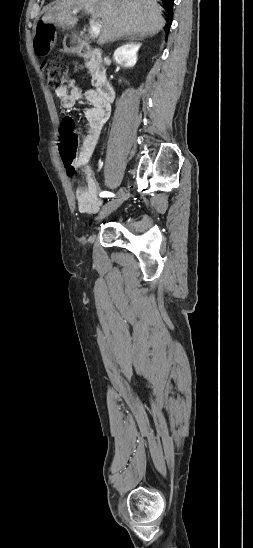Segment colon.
<instances>
[{
    "instance_id": "5ec220e1",
    "label": "colon",
    "mask_w": 253,
    "mask_h": 548,
    "mask_svg": "<svg viewBox=\"0 0 253 548\" xmlns=\"http://www.w3.org/2000/svg\"><path fill=\"white\" fill-rule=\"evenodd\" d=\"M54 41V29L51 26L41 25L38 28L36 36V45L40 50H48ZM47 84L52 89H58L63 86L67 79L66 66L55 62L47 61L42 65ZM78 145V136L74 132L71 122L66 121L63 124L59 151L63 162L70 165L76 158ZM70 173L74 172V168L70 167Z\"/></svg>"
}]
</instances>
